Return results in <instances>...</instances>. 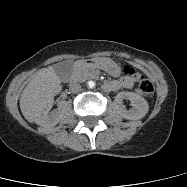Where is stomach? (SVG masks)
Masks as SVG:
<instances>
[{"instance_id": "stomach-1", "label": "stomach", "mask_w": 187, "mask_h": 187, "mask_svg": "<svg viewBox=\"0 0 187 187\" xmlns=\"http://www.w3.org/2000/svg\"><path fill=\"white\" fill-rule=\"evenodd\" d=\"M90 63L101 70H104L112 76H119L121 73L120 66L110 58L96 57L90 60Z\"/></svg>"}]
</instances>
